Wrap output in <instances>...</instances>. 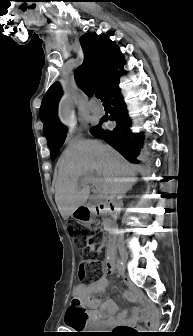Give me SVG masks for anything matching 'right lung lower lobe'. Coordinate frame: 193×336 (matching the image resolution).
<instances>
[{
  "instance_id": "right-lung-lower-lobe-1",
  "label": "right lung lower lobe",
  "mask_w": 193,
  "mask_h": 336,
  "mask_svg": "<svg viewBox=\"0 0 193 336\" xmlns=\"http://www.w3.org/2000/svg\"><path fill=\"white\" fill-rule=\"evenodd\" d=\"M118 77L119 75L109 86L104 95L107 102L114 106L110 117L105 120L115 121L117 125L112 130H102L101 127L98 126L92 133L94 136L109 143L130 162L138 163L137 157L139 155L142 137H136L129 130L130 123L123 97L118 88Z\"/></svg>"
}]
</instances>
